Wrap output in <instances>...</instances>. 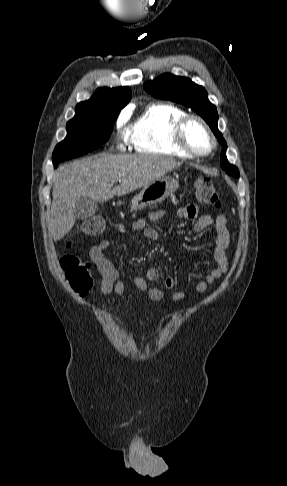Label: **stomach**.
I'll return each instance as SVG.
<instances>
[{"label": "stomach", "mask_w": 287, "mask_h": 486, "mask_svg": "<svg viewBox=\"0 0 287 486\" xmlns=\"http://www.w3.org/2000/svg\"><path fill=\"white\" fill-rule=\"evenodd\" d=\"M179 187V182L173 177H162L146 186L136 194L130 203L131 210L144 209L165 200L172 195Z\"/></svg>", "instance_id": "stomach-1"}]
</instances>
